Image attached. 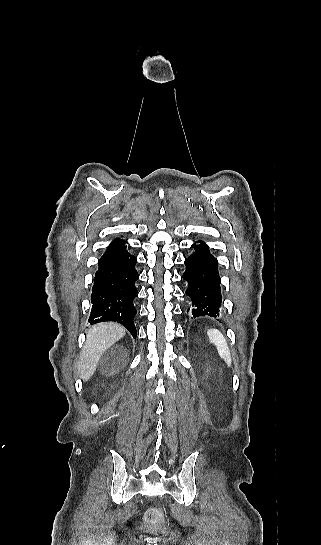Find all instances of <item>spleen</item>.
Segmentation results:
<instances>
[{
  "label": "spleen",
  "mask_w": 321,
  "mask_h": 545,
  "mask_svg": "<svg viewBox=\"0 0 321 545\" xmlns=\"http://www.w3.org/2000/svg\"><path fill=\"white\" fill-rule=\"evenodd\" d=\"M207 335L210 343L215 345L221 359H224L226 365L231 367V353L225 337H223L222 333H220L218 329H208Z\"/></svg>",
  "instance_id": "obj_1"
}]
</instances>
